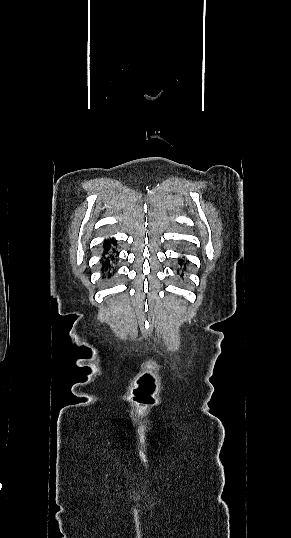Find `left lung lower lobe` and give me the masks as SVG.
Here are the masks:
<instances>
[{"mask_svg":"<svg viewBox=\"0 0 291 538\" xmlns=\"http://www.w3.org/2000/svg\"><path fill=\"white\" fill-rule=\"evenodd\" d=\"M183 263H184V261H183V260H181V264H183ZM185 269H186V267H185V265H184V270H185Z\"/></svg>","mask_w":291,"mask_h":538,"instance_id":"0a47b994","label":"left lung lower lobe"}]
</instances>
